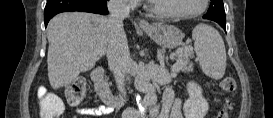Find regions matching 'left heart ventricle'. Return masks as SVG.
I'll list each match as a JSON object with an SVG mask.
<instances>
[{"instance_id": "b2bd125f", "label": "left heart ventricle", "mask_w": 273, "mask_h": 118, "mask_svg": "<svg viewBox=\"0 0 273 118\" xmlns=\"http://www.w3.org/2000/svg\"><path fill=\"white\" fill-rule=\"evenodd\" d=\"M154 6L160 11L188 13L200 8L201 0H155Z\"/></svg>"}]
</instances>
